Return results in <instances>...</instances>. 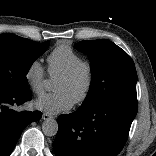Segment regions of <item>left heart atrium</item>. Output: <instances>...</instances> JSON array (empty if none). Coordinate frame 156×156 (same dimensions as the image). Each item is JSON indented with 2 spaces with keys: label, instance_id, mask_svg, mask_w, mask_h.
<instances>
[{
  "label": "left heart atrium",
  "instance_id": "left-heart-atrium-1",
  "mask_svg": "<svg viewBox=\"0 0 156 156\" xmlns=\"http://www.w3.org/2000/svg\"><path fill=\"white\" fill-rule=\"evenodd\" d=\"M34 106L48 114H57L71 109L73 100L63 92H55L41 96Z\"/></svg>",
  "mask_w": 156,
  "mask_h": 156
}]
</instances>
